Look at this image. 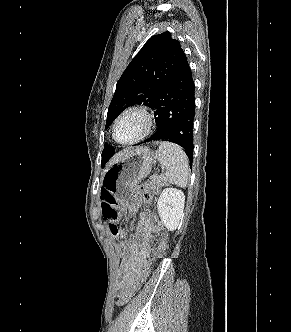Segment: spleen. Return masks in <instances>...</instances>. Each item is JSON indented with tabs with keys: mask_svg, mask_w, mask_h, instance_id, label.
Returning <instances> with one entry per match:
<instances>
[{
	"mask_svg": "<svg viewBox=\"0 0 291 332\" xmlns=\"http://www.w3.org/2000/svg\"><path fill=\"white\" fill-rule=\"evenodd\" d=\"M158 161L166 168L165 180L179 187H186L189 175V160L184 150L171 142H161Z\"/></svg>",
	"mask_w": 291,
	"mask_h": 332,
	"instance_id": "1",
	"label": "spleen"
}]
</instances>
